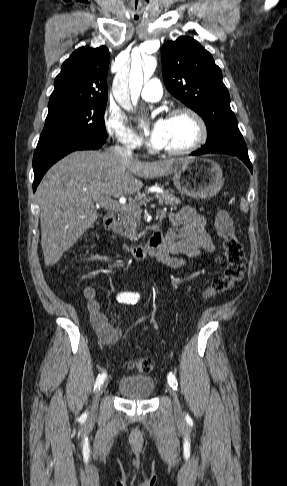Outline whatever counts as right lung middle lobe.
I'll return each mask as SVG.
<instances>
[{"label": "right lung middle lobe", "instance_id": "dd1d6c3e", "mask_svg": "<svg viewBox=\"0 0 287 486\" xmlns=\"http://www.w3.org/2000/svg\"><path fill=\"white\" fill-rule=\"evenodd\" d=\"M106 104L107 100L91 99L48 107L49 112L37 148L67 143L105 142Z\"/></svg>", "mask_w": 287, "mask_h": 486}]
</instances>
